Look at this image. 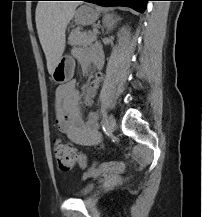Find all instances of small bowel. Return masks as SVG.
<instances>
[{"label": "small bowel", "mask_w": 202, "mask_h": 217, "mask_svg": "<svg viewBox=\"0 0 202 217\" xmlns=\"http://www.w3.org/2000/svg\"><path fill=\"white\" fill-rule=\"evenodd\" d=\"M73 56L78 61L82 72H86L93 62L98 70L95 77L87 84L85 91L80 93L76 80L58 86L55 90V124L68 138L79 145L100 147L101 135L97 130L98 114L89 112L83 118L80 105H90L96 95L101 81L102 60L98 55L83 49H74Z\"/></svg>", "instance_id": "obj_1"}]
</instances>
